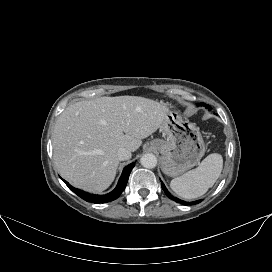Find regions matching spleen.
<instances>
[{"instance_id": "spleen-1", "label": "spleen", "mask_w": 272, "mask_h": 272, "mask_svg": "<svg viewBox=\"0 0 272 272\" xmlns=\"http://www.w3.org/2000/svg\"><path fill=\"white\" fill-rule=\"evenodd\" d=\"M223 158L218 153L208 155L197 167L170 182L171 189L183 199H195L205 194L218 179Z\"/></svg>"}]
</instances>
